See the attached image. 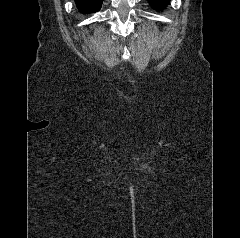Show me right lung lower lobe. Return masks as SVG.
<instances>
[{"instance_id": "right-lung-lower-lobe-1", "label": "right lung lower lobe", "mask_w": 240, "mask_h": 238, "mask_svg": "<svg viewBox=\"0 0 240 238\" xmlns=\"http://www.w3.org/2000/svg\"><path fill=\"white\" fill-rule=\"evenodd\" d=\"M75 2L80 12L91 13L101 8L103 0H75Z\"/></svg>"}]
</instances>
